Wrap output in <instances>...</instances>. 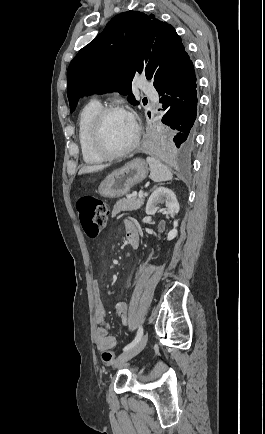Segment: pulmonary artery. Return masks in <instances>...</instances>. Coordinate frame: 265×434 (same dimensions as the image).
Returning <instances> with one entry per match:
<instances>
[{
    "label": "pulmonary artery",
    "instance_id": "pulmonary-artery-1",
    "mask_svg": "<svg viewBox=\"0 0 265 434\" xmlns=\"http://www.w3.org/2000/svg\"><path fill=\"white\" fill-rule=\"evenodd\" d=\"M140 81H143V78H140ZM97 97H100V94H97Z\"/></svg>",
    "mask_w": 265,
    "mask_h": 434
}]
</instances>
